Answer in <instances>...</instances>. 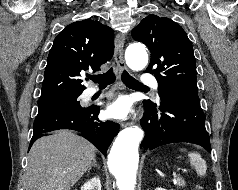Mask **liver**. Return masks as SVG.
<instances>
[{"instance_id":"1","label":"liver","mask_w":238,"mask_h":190,"mask_svg":"<svg viewBox=\"0 0 238 190\" xmlns=\"http://www.w3.org/2000/svg\"><path fill=\"white\" fill-rule=\"evenodd\" d=\"M95 147L69 130L41 137L30 149L26 190H71L95 158Z\"/></svg>"}]
</instances>
